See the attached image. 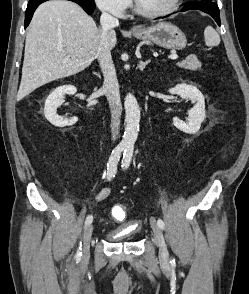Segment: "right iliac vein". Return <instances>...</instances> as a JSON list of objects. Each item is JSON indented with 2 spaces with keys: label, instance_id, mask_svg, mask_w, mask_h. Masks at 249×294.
<instances>
[{
  "label": "right iliac vein",
  "instance_id": "right-iliac-vein-1",
  "mask_svg": "<svg viewBox=\"0 0 249 294\" xmlns=\"http://www.w3.org/2000/svg\"><path fill=\"white\" fill-rule=\"evenodd\" d=\"M93 232V225L89 224L84 232L83 236V249H82V262H88L90 258V242Z\"/></svg>",
  "mask_w": 249,
  "mask_h": 294
}]
</instances>
